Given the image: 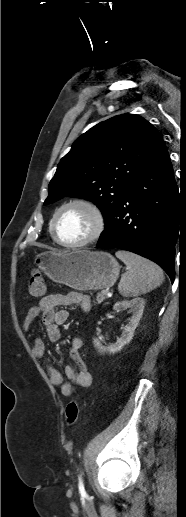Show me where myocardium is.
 <instances>
[{
	"mask_svg": "<svg viewBox=\"0 0 186 517\" xmlns=\"http://www.w3.org/2000/svg\"><path fill=\"white\" fill-rule=\"evenodd\" d=\"M73 206H80V207L86 209L91 214V216L93 218V228H92L90 234L87 237H85L83 240H81L79 242L68 243V242L62 241L59 238L57 231H56V223H57V219H58L59 215L61 214V212L63 210H65L66 208L73 207ZM105 226H106V220H105L104 213L102 212L101 208L95 202H93L89 199H86V198H75V199H72V200L62 204L55 211V213L53 214V217L51 219L50 231H51L53 239L60 246L75 249V248H81V247L87 246V245L95 242L97 239H99V237L104 232Z\"/></svg>",
	"mask_w": 186,
	"mask_h": 517,
	"instance_id": "1",
	"label": "myocardium"
}]
</instances>
